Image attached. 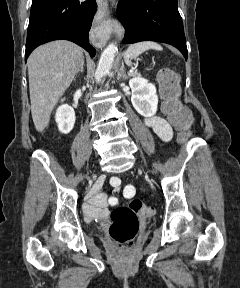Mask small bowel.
<instances>
[{
    "label": "small bowel",
    "instance_id": "obj_1",
    "mask_svg": "<svg viewBox=\"0 0 240 288\" xmlns=\"http://www.w3.org/2000/svg\"><path fill=\"white\" fill-rule=\"evenodd\" d=\"M145 124L163 141H169L171 139L172 128L164 118L151 116L145 119ZM103 182L104 180L100 178L89 193L88 201L84 206V213L88 220L106 217L108 215V205L115 206L118 204L117 194L120 191V179L118 177L111 178L110 182L113 186L114 196L110 198H107V195L101 191ZM134 192V187L127 185L124 190V195L126 198H131Z\"/></svg>",
    "mask_w": 240,
    "mask_h": 288
}]
</instances>
